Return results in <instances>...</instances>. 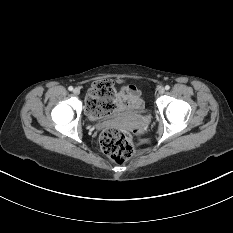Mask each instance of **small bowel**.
I'll return each mask as SVG.
<instances>
[{
    "label": "small bowel",
    "mask_w": 233,
    "mask_h": 233,
    "mask_svg": "<svg viewBox=\"0 0 233 233\" xmlns=\"http://www.w3.org/2000/svg\"><path fill=\"white\" fill-rule=\"evenodd\" d=\"M117 109L125 111L143 106L140 90L135 85H128L116 92Z\"/></svg>",
    "instance_id": "c3829d8e"
}]
</instances>
